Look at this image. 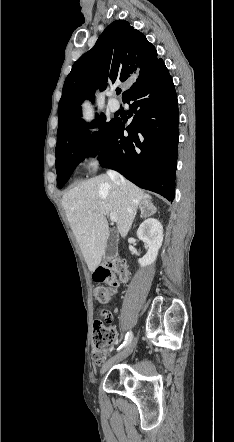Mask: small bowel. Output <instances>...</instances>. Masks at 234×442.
Instances as JSON below:
<instances>
[{"instance_id":"small-bowel-1","label":"small bowel","mask_w":234,"mask_h":442,"mask_svg":"<svg viewBox=\"0 0 234 442\" xmlns=\"http://www.w3.org/2000/svg\"><path fill=\"white\" fill-rule=\"evenodd\" d=\"M113 316L111 314H104L102 319H96L94 325L96 328H109L112 325Z\"/></svg>"}]
</instances>
